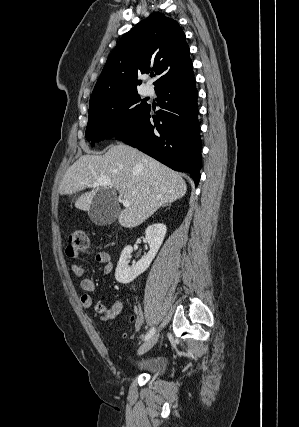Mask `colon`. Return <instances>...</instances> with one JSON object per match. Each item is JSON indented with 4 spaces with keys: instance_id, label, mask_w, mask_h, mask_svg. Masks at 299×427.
Listing matches in <instances>:
<instances>
[{
    "instance_id": "5ec220e1",
    "label": "colon",
    "mask_w": 299,
    "mask_h": 427,
    "mask_svg": "<svg viewBox=\"0 0 299 427\" xmlns=\"http://www.w3.org/2000/svg\"><path fill=\"white\" fill-rule=\"evenodd\" d=\"M89 249V235L86 229H76L72 232L69 237V243L67 247V255L69 257H76L79 254L86 253ZM97 310L99 312L104 311L102 305H98Z\"/></svg>"
}]
</instances>
